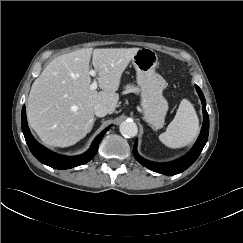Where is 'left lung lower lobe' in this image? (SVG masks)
<instances>
[{
    "instance_id": "0a47b994",
    "label": "left lung lower lobe",
    "mask_w": 243,
    "mask_h": 243,
    "mask_svg": "<svg viewBox=\"0 0 243 243\" xmlns=\"http://www.w3.org/2000/svg\"><path fill=\"white\" fill-rule=\"evenodd\" d=\"M196 90L202 101L204 120H203V126L201 129L200 136H199L197 142L195 143L194 147L190 150V152L186 156H184L176 161H173L170 163L158 164V163L147 161L138 155L137 149H136L137 148V140H136L135 144H134V148H133V154H134V157L136 158V160L140 164H142L143 166H145L148 169H150L154 172H157V173H161V174H165V175H175V174L183 172L196 161V159L200 155L203 147L205 146V144L207 142L208 132H209V117H208V113L206 111V101H205L202 91L200 90V88L197 85H196Z\"/></svg>"
}]
</instances>
